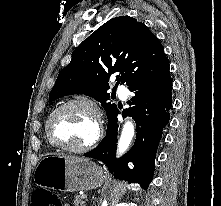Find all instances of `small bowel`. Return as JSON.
Returning <instances> with one entry per match:
<instances>
[{"label": "small bowel", "instance_id": "c3829d8e", "mask_svg": "<svg viewBox=\"0 0 221 206\" xmlns=\"http://www.w3.org/2000/svg\"><path fill=\"white\" fill-rule=\"evenodd\" d=\"M64 206H70V205H68V204H65Z\"/></svg>", "mask_w": 221, "mask_h": 206}]
</instances>
